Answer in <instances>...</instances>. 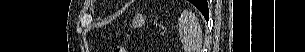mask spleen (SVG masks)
I'll list each match as a JSON object with an SVG mask.
<instances>
[{
	"label": "spleen",
	"instance_id": "1",
	"mask_svg": "<svg viewBox=\"0 0 305 52\" xmlns=\"http://www.w3.org/2000/svg\"><path fill=\"white\" fill-rule=\"evenodd\" d=\"M178 25L185 52H200L203 33L197 17L192 12L184 11L178 19Z\"/></svg>",
	"mask_w": 305,
	"mask_h": 52
}]
</instances>
